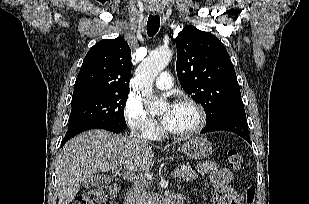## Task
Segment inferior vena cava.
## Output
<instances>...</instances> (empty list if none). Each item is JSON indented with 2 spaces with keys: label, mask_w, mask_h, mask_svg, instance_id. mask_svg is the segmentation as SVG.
Listing matches in <instances>:
<instances>
[{
  "label": "inferior vena cava",
  "mask_w": 309,
  "mask_h": 204,
  "mask_svg": "<svg viewBox=\"0 0 309 204\" xmlns=\"http://www.w3.org/2000/svg\"><path fill=\"white\" fill-rule=\"evenodd\" d=\"M130 138L136 143L147 144L148 140L139 131H132ZM127 204H148L146 189L143 184L135 183L127 196Z\"/></svg>",
  "instance_id": "1"
}]
</instances>
